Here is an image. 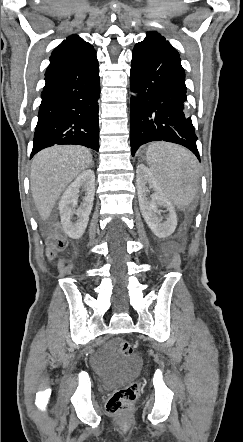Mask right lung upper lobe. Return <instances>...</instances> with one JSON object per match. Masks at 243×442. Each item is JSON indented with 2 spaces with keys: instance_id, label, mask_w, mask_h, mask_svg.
<instances>
[{
  "instance_id": "obj_1",
  "label": "right lung upper lobe",
  "mask_w": 243,
  "mask_h": 442,
  "mask_svg": "<svg viewBox=\"0 0 243 442\" xmlns=\"http://www.w3.org/2000/svg\"><path fill=\"white\" fill-rule=\"evenodd\" d=\"M93 51H95L93 46L85 42L82 38L77 35L69 36L53 50L48 67L65 61L82 58Z\"/></svg>"
}]
</instances>
